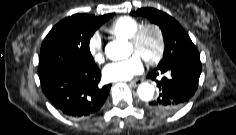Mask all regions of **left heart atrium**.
Segmentation results:
<instances>
[{"label":"left heart atrium","mask_w":236,"mask_h":135,"mask_svg":"<svg viewBox=\"0 0 236 135\" xmlns=\"http://www.w3.org/2000/svg\"><path fill=\"white\" fill-rule=\"evenodd\" d=\"M142 71V61L138 55H134L126 60L109 63L104 68L103 75L110 81L129 80Z\"/></svg>","instance_id":"left-heart-atrium-1"}]
</instances>
